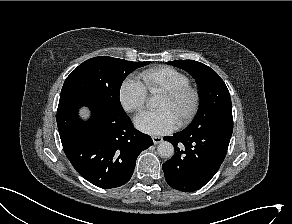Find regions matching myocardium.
Listing matches in <instances>:
<instances>
[{
    "instance_id": "1",
    "label": "myocardium",
    "mask_w": 292,
    "mask_h": 224,
    "mask_svg": "<svg viewBox=\"0 0 292 224\" xmlns=\"http://www.w3.org/2000/svg\"><path fill=\"white\" fill-rule=\"evenodd\" d=\"M162 95L166 96L171 101H177L185 96H189L191 98L188 108L177 120V124L179 126L188 124L196 115L201 104L200 91L196 87L189 84L164 90Z\"/></svg>"
}]
</instances>
